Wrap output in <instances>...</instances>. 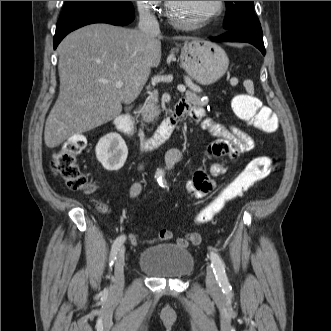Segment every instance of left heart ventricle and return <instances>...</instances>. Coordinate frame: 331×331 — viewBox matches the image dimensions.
I'll return each instance as SVG.
<instances>
[{"mask_svg": "<svg viewBox=\"0 0 331 331\" xmlns=\"http://www.w3.org/2000/svg\"><path fill=\"white\" fill-rule=\"evenodd\" d=\"M174 17L182 22H195L211 13L215 1H171Z\"/></svg>", "mask_w": 331, "mask_h": 331, "instance_id": "1", "label": "left heart ventricle"}]
</instances>
